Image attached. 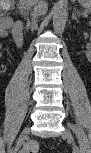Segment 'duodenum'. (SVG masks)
Masks as SVG:
<instances>
[{"label":"duodenum","mask_w":91,"mask_h":153,"mask_svg":"<svg viewBox=\"0 0 91 153\" xmlns=\"http://www.w3.org/2000/svg\"><path fill=\"white\" fill-rule=\"evenodd\" d=\"M12 37L19 48L24 46V23L21 19L17 20L12 27Z\"/></svg>","instance_id":"duodenum-1"}]
</instances>
